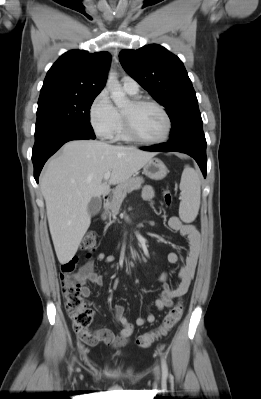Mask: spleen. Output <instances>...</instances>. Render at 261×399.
Instances as JSON below:
<instances>
[{"mask_svg":"<svg viewBox=\"0 0 261 399\" xmlns=\"http://www.w3.org/2000/svg\"><path fill=\"white\" fill-rule=\"evenodd\" d=\"M180 190L179 216L186 223L193 222L200 207L201 181L199 173L189 166L182 173Z\"/></svg>","mask_w":261,"mask_h":399,"instance_id":"spleen-1","label":"spleen"}]
</instances>
